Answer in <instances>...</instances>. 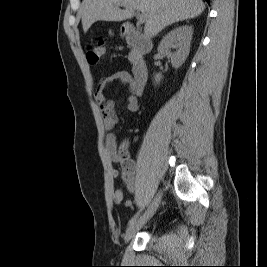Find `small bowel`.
<instances>
[{
  "instance_id": "small-bowel-1",
  "label": "small bowel",
  "mask_w": 267,
  "mask_h": 267,
  "mask_svg": "<svg viewBox=\"0 0 267 267\" xmlns=\"http://www.w3.org/2000/svg\"><path fill=\"white\" fill-rule=\"evenodd\" d=\"M119 81L127 86L128 96L126 98V109L129 112H137L139 109L138 98L134 92V79L127 71H118L102 79L99 87L95 92V99L99 103L102 118L103 128L108 132L105 136V151L108 159L112 163H120L122 167V178L129 192L134 193L137 185L135 180L136 164L132 159L122 160L117 151L116 137L110 131L115 128L118 123V116L115 111V103L112 100H106L104 91L108 85ZM110 177L116 179L119 176V171L115 168H110ZM112 199L116 204L123 203L125 207H130L132 201L124 200V194L121 189H114Z\"/></svg>"
}]
</instances>
